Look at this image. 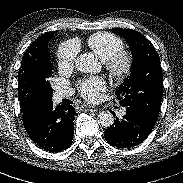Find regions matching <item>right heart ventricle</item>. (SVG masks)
<instances>
[{
    "label": "right heart ventricle",
    "instance_id": "1",
    "mask_svg": "<svg viewBox=\"0 0 183 183\" xmlns=\"http://www.w3.org/2000/svg\"><path fill=\"white\" fill-rule=\"evenodd\" d=\"M86 43L102 60L108 59L124 46L120 37L109 32L94 33L87 38Z\"/></svg>",
    "mask_w": 183,
    "mask_h": 183
}]
</instances>
